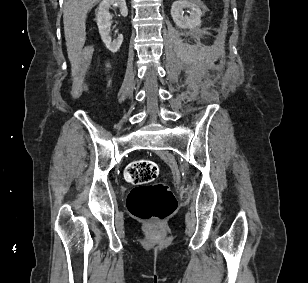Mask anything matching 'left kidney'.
I'll list each match as a JSON object with an SVG mask.
<instances>
[{"mask_svg":"<svg viewBox=\"0 0 308 283\" xmlns=\"http://www.w3.org/2000/svg\"><path fill=\"white\" fill-rule=\"evenodd\" d=\"M185 8L191 10L189 16L183 15ZM205 10L206 7L200 0H177L172 4L171 16L177 27L194 29L201 25V17Z\"/></svg>","mask_w":308,"mask_h":283,"instance_id":"1","label":"left kidney"}]
</instances>
